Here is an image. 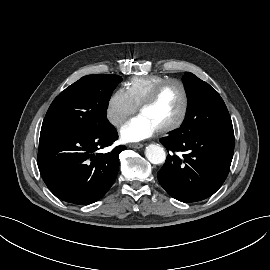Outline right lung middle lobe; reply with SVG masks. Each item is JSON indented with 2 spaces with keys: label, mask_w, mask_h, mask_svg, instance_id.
Wrapping results in <instances>:
<instances>
[{
  "label": "right lung middle lobe",
  "mask_w": 270,
  "mask_h": 270,
  "mask_svg": "<svg viewBox=\"0 0 270 270\" xmlns=\"http://www.w3.org/2000/svg\"><path fill=\"white\" fill-rule=\"evenodd\" d=\"M118 75H87L62 91L50 105L41 131L97 132L110 125L107 107Z\"/></svg>",
  "instance_id": "1"
}]
</instances>
